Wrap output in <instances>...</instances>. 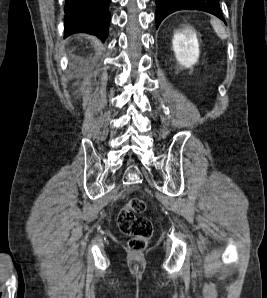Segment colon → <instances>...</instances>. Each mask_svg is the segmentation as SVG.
Here are the masks:
<instances>
[{
  "mask_svg": "<svg viewBox=\"0 0 267 298\" xmlns=\"http://www.w3.org/2000/svg\"><path fill=\"white\" fill-rule=\"evenodd\" d=\"M145 210V202L141 198L132 197L117 215V225L123 234L130 237L128 246L133 252H142L153 233L150 219L142 216Z\"/></svg>",
  "mask_w": 267,
  "mask_h": 298,
  "instance_id": "obj_1",
  "label": "colon"
}]
</instances>
